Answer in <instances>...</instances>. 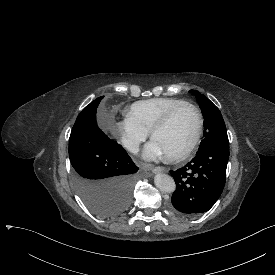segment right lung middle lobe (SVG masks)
<instances>
[{
	"label": "right lung middle lobe",
	"instance_id": "dd1d6c3e",
	"mask_svg": "<svg viewBox=\"0 0 275 275\" xmlns=\"http://www.w3.org/2000/svg\"><path fill=\"white\" fill-rule=\"evenodd\" d=\"M104 96L78 115L69 139L73 184L88 208L102 217L125 212L141 178L139 168L117 142L97 126L96 110Z\"/></svg>",
	"mask_w": 275,
	"mask_h": 275
}]
</instances>
